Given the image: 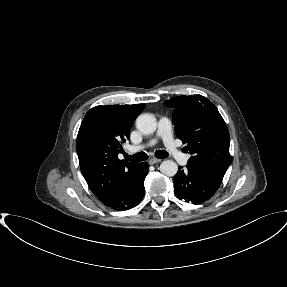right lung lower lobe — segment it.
I'll return each mask as SVG.
<instances>
[{
	"label": "right lung lower lobe",
	"instance_id": "98d812e1",
	"mask_svg": "<svg viewBox=\"0 0 287 287\" xmlns=\"http://www.w3.org/2000/svg\"><path fill=\"white\" fill-rule=\"evenodd\" d=\"M148 170L147 163H139L134 172L119 185L116 192L104 205L118 211L128 210L138 205L144 197V180Z\"/></svg>",
	"mask_w": 287,
	"mask_h": 287
}]
</instances>
